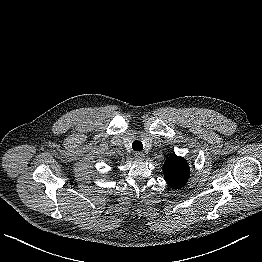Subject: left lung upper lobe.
I'll return each instance as SVG.
<instances>
[{
    "instance_id": "1",
    "label": "left lung upper lobe",
    "mask_w": 262,
    "mask_h": 262,
    "mask_svg": "<svg viewBox=\"0 0 262 262\" xmlns=\"http://www.w3.org/2000/svg\"><path fill=\"white\" fill-rule=\"evenodd\" d=\"M163 173L165 181L173 189H179L187 183L189 165L182 157L172 154L164 162Z\"/></svg>"
}]
</instances>
